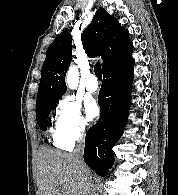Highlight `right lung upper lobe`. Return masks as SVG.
I'll return each instance as SVG.
<instances>
[{"instance_id":"right-lung-upper-lobe-1","label":"right lung upper lobe","mask_w":178,"mask_h":195,"mask_svg":"<svg viewBox=\"0 0 178 195\" xmlns=\"http://www.w3.org/2000/svg\"><path fill=\"white\" fill-rule=\"evenodd\" d=\"M71 41V34L65 31L48 47L36 106L46 101L59 100L65 94V75L72 59ZM81 41L89 57L101 56L104 75L134 62L133 44L128 31L104 8L97 10L92 22L81 35Z\"/></svg>"}]
</instances>
